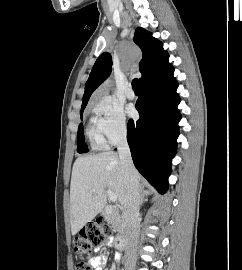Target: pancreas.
I'll return each instance as SVG.
<instances>
[{"mask_svg":"<svg viewBox=\"0 0 242 270\" xmlns=\"http://www.w3.org/2000/svg\"><path fill=\"white\" fill-rule=\"evenodd\" d=\"M106 220L111 224L114 230L121 236L125 233L127 225L124 221L123 214L117 209H113L107 216Z\"/></svg>","mask_w":242,"mask_h":270,"instance_id":"1","label":"pancreas"}]
</instances>
